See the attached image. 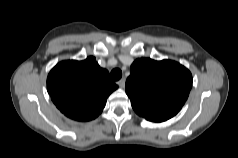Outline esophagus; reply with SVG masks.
Listing matches in <instances>:
<instances>
[{"mask_svg": "<svg viewBox=\"0 0 238 158\" xmlns=\"http://www.w3.org/2000/svg\"><path fill=\"white\" fill-rule=\"evenodd\" d=\"M125 82H126L125 78H122L119 81H117V84L120 88H124L125 87Z\"/></svg>", "mask_w": 238, "mask_h": 158, "instance_id": "esophagus-1", "label": "esophagus"}]
</instances>
